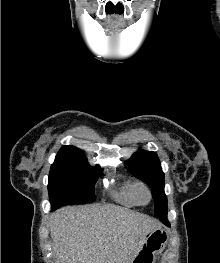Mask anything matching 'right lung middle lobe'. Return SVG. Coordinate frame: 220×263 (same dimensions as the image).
Instances as JSON below:
<instances>
[{
    "instance_id": "dd1d6c3e",
    "label": "right lung middle lobe",
    "mask_w": 220,
    "mask_h": 263,
    "mask_svg": "<svg viewBox=\"0 0 220 263\" xmlns=\"http://www.w3.org/2000/svg\"><path fill=\"white\" fill-rule=\"evenodd\" d=\"M100 175L99 166L91 167L83 154L58 153L49 174L52 207L94 201V185Z\"/></svg>"
}]
</instances>
